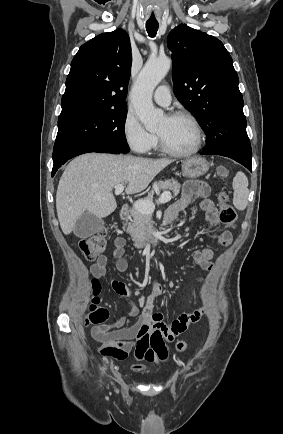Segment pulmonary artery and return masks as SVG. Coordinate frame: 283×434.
I'll use <instances>...</instances> for the list:
<instances>
[{
    "label": "pulmonary artery",
    "mask_w": 283,
    "mask_h": 434,
    "mask_svg": "<svg viewBox=\"0 0 283 434\" xmlns=\"http://www.w3.org/2000/svg\"><path fill=\"white\" fill-rule=\"evenodd\" d=\"M154 101L161 106H169L171 94L167 85H160L154 92Z\"/></svg>",
    "instance_id": "obj_1"
}]
</instances>
